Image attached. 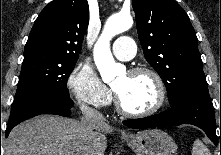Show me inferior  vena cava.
Returning a JSON list of instances; mask_svg holds the SVG:
<instances>
[{"label":"inferior vena cava","mask_w":221,"mask_h":155,"mask_svg":"<svg viewBox=\"0 0 221 155\" xmlns=\"http://www.w3.org/2000/svg\"><path fill=\"white\" fill-rule=\"evenodd\" d=\"M80 109L89 128L95 126L99 122L105 121L104 116L99 111L87 105H81Z\"/></svg>","instance_id":"602c4592"}]
</instances>
